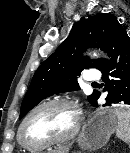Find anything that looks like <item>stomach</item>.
I'll return each instance as SVG.
<instances>
[{
	"instance_id": "1",
	"label": "stomach",
	"mask_w": 130,
	"mask_h": 153,
	"mask_svg": "<svg viewBox=\"0 0 130 153\" xmlns=\"http://www.w3.org/2000/svg\"><path fill=\"white\" fill-rule=\"evenodd\" d=\"M118 126L114 109L98 110L82 129L79 146L94 151L103 147Z\"/></svg>"
}]
</instances>
